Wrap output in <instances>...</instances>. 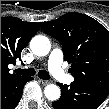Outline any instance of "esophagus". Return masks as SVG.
Masks as SVG:
<instances>
[{
    "label": "esophagus",
    "instance_id": "esophagus-1",
    "mask_svg": "<svg viewBox=\"0 0 109 109\" xmlns=\"http://www.w3.org/2000/svg\"><path fill=\"white\" fill-rule=\"evenodd\" d=\"M40 82H41L43 85H48V84H50V81H48V80H42V79H40Z\"/></svg>",
    "mask_w": 109,
    "mask_h": 109
}]
</instances>
